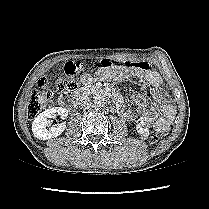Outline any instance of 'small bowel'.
Segmentation results:
<instances>
[{
    "mask_svg": "<svg viewBox=\"0 0 209 209\" xmlns=\"http://www.w3.org/2000/svg\"><path fill=\"white\" fill-rule=\"evenodd\" d=\"M96 79H112L115 81L125 79L140 80V87L143 92L134 97V101L138 104V113L151 121L156 130L160 128L167 130L168 124L173 119L176 110L171 104L168 95L161 89L162 78L160 74L155 70H151L147 63L116 64L110 60H104L95 76L84 71L81 72L80 81L83 85H90ZM152 97L159 102V108L149 107ZM62 98L63 96L61 100ZM129 116L130 114L126 112L125 117Z\"/></svg>",
    "mask_w": 209,
    "mask_h": 209,
    "instance_id": "c3829d8e",
    "label": "small bowel"
}]
</instances>
